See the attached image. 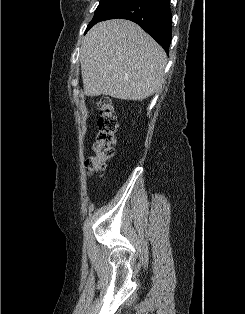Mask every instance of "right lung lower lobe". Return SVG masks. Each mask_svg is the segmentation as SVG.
Returning <instances> with one entry per match:
<instances>
[{
	"instance_id": "1",
	"label": "right lung lower lobe",
	"mask_w": 245,
	"mask_h": 314,
	"mask_svg": "<svg viewBox=\"0 0 245 314\" xmlns=\"http://www.w3.org/2000/svg\"><path fill=\"white\" fill-rule=\"evenodd\" d=\"M115 18L137 23L168 52L172 37L170 0H127L102 21Z\"/></svg>"
}]
</instances>
